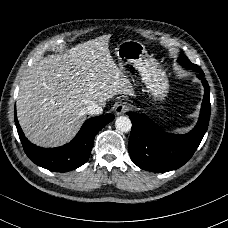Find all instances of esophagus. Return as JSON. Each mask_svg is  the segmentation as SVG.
Segmentation results:
<instances>
[{"instance_id": "1", "label": "esophagus", "mask_w": 228, "mask_h": 228, "mask_svg": "<svg viewBox=\"0 0 228 228\" xmlns=\"http://www.w3.org/2000/svg\"><path fill=\"white\" fill-rule=\"evenodd\" d=\"M131 109V106L129 103L127 102H121L119 104L116 105L115 107V113L117 115H122L124 113H126L127 111H129Z\"/></svg>"}]
</instances>
